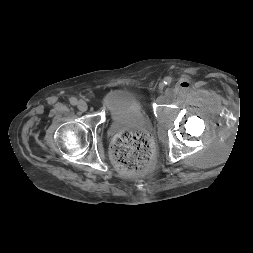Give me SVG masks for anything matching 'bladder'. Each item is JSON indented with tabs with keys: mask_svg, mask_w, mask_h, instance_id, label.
Wrapping results in <instances>:
<instances>
[{
	"mask_svg": "<svg viewBox=\"0 0 253 253\" xmlns=\"http://www.w3.org/2000/svg\"><path fill=\"white\" fill-rule=\"evenodd\" d=\"M102 104L110 115H119L143 110L145 98L135 87L120 86L110 89L105 94Z\"/></svg>",
	"mask_w": 253,
	"mask_h": 253,
	"instance_id": "31cf9c89",
	"label": "bladder"
}]
</instances>
